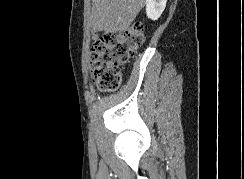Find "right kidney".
Listing matches in <instances>:
<instances>
[{
	"mask_svg": "<svg viewBox=\"0 0 244 179\" xmlns=\"http://www.w3.org/2000/svg\"><path fill=\"white\" fill-rule=\"evenodd\" d=\"M167 0H146V14L150 20H158L166 8Z\"/></svg>",
	"mask_w": 244,
	"mask_h": 179,
	"instance_id": "1",
	"label": "right kidney"
}]
</instances>
